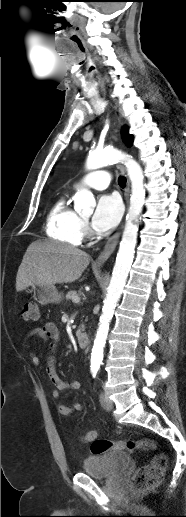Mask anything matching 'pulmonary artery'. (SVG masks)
I'll use <instances>...</instances> for the list:
<instances>
[{"label":"pulmonary artery","instance_id":"pulmonary-artery-1","mask_svg":"<svg viewBox=\"0 0 186 517\" xmlns=\"http://www.w3.org/2000/svg\"><path fill=\"white\" fill-rule=\"evenodd\" d=\"M110 184V175L106 171H94L83 177L76 187L87 186L96 190L106 189Z\"/></svg>","mask_w":186,"mask_h":517}]
</instances>
